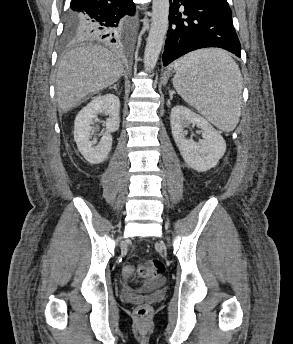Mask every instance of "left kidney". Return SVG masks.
<instances>
[{"label": "left kidney", "instance_id": "5707ae66", "mask_svg": "<svg viewBox=\"0 0 293 344\" xmlns=\"http://www.w3.org/2000/svg\"><path fill=\"white\" fill-rule=\"evenodd\" d=\"M170 118L174 141L187 165L198 172L215 167L226 151L221 134L205 118L184 106H175ZM191 124L202 130L199 143L185 138L184 128Z\"/></svg>", "mask_w": 293, "mask_h": 344}]
</instances>
